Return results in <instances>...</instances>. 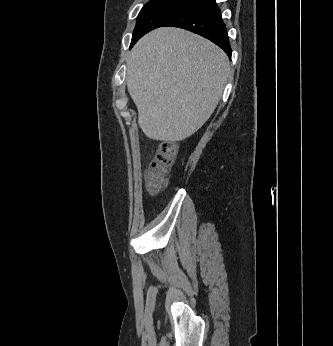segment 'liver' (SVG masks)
Returning a JSON list of instances; mask_svg holds the SVG:
<instances>
[{
	"label": "liver",
	"mask_w": 333,
	"mask_h": 346,
	"mask_svg": "<svg viewBox=\"0 0 333 346\" xmlns=\"http://www.w3.org/2000/svg\"><path fill=\"white\" fill-rule=\"evenodd\" d=\"M230 73L225 52L189 31L163 27L142 37L127 60V88L150 139L182 141L209 119Z\"/></svg>",
	"instance_id": "liver-1"
}]
</instances>
